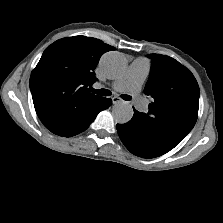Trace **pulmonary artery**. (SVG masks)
<instances>
[{
    "label": "pulmonary artery",
    "mask_w": 223,
    "mask_h": 223,
    "mask_svg": "<svg viewBox=\"0 0 223 223\" xmlns=\"http://www.w3.org/2000/svg\"><path fill=\"white\" fill-rule=\"evenodd\" d=\"M147 75V64L143 59H136L128 70L116 79L112 87L116 91L127 92L133 99L134 106L139 110L146 108V103L140 96L141 86Z\"/></svg>",
    "instance_id": "e3ab8cb5"
}]
</instances>
